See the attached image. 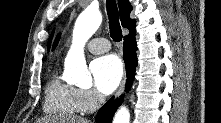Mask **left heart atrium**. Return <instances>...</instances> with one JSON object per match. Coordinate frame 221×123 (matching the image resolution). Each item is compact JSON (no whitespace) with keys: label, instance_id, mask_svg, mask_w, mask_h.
Here are the masks:
<instances>
[{"label":"left heart atrium","instance_id":"39dd6f15","mask_svg":"<svg viewBox=\"0 0 221 123\" xmlns=\"http://www.w3.org/2000/svg\"><path fill=\"white\" fill-rule=\"evenodd\" d=\"M90 70L96 88L104 94L113 92L123 76V65L115 55H104L94 59Z\"/></svg>","mask_w":221,"mask_h":123}]
</instances>
